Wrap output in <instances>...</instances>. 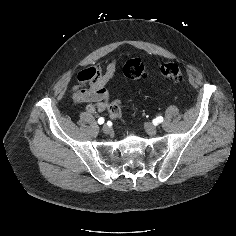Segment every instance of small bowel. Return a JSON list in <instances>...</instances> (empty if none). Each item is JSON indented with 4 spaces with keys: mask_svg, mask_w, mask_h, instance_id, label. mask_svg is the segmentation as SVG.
I'll return each instance as SVG.
<instances>
[{
    "mask_svg": "<svg viewBox=\"0 0 236 236\" xmlns=\"http://www.w3.org/2000/svg\"><path fill=\"white\" fill-rule=\"evenodd\" d=\"M118 60L113 58L105 68L95 65L82 70L78 74L79 84L75 89L74 97L87 102L88 113L105 111L109 103V92L106 84L117 70Z\"/></svg>",
    "mask_w": 236,
    "mask_h": 236,
    "instance_id": "1",
    "label": "small bowel"
}]
</instances>
